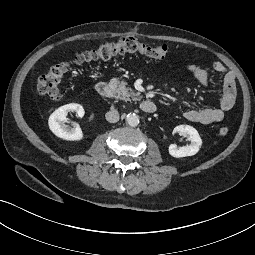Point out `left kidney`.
Returning a JSON list of instances; mask_svg holds the SVG:
<instances>
[{
    "instance_id": "5707ae66",
    "label": "left kidney",
    "mask_w": 255,
    "mask_h": 255,
    "mask_svg": "<svg viewBox=\"0 0 255 255\" xmlns=\"http://www.w3.org/2000/svg\"><path fill=\"white\" fill-rule=\"evenodd\" d=\"M175 132L180 133L190 141L187 146L177 147L174 144L169 146V154L176 158L195 155L202 146V140L198 131L190 125H178L174 128Z\"/></svg>"
}]
</instances>
